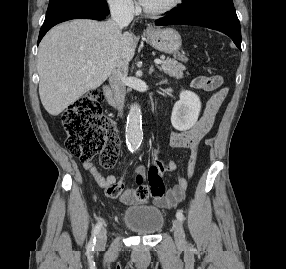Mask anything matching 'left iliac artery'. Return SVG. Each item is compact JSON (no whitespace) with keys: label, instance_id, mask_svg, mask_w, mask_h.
Returning a JSON list of instances; mask_svg holds the SVG:
<instances>
[{"label":"left iliac artery","instance_id":"obj_1","mask_svg":"<svg viewBox=\"0 0 286 269\" xmlns=\"http://www.w3.org/2000/svg\"><path fill=\"white\" fill-rule=\"evenodd\" d=\"M176 217L178 218V220H180L181 222L184 221V215L182 213L181 210H178L177 213H176Z\"/></svg>","mask_w":286,"mask_h":269}]
</instances>
